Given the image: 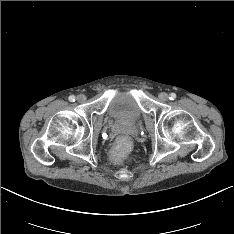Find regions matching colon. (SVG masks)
<instances>
[{"mask_svg": "<svg viewBox=\"0 0 234 234\" xmlns=\"http://www.w3.org/2000/svg\"><path fill=\"white\" fill-rule=\"evenodd\" d=\"M133 150V143L128 138H121L114 142L109 152V159L116 165H123L128 160V154Z\"/></svg>", "mask_w": 234, "mask_h": 234, "instance_id": "1", "label": "colon"}]
</instances>
